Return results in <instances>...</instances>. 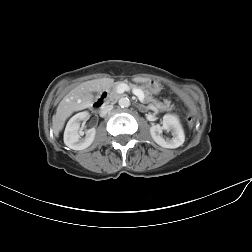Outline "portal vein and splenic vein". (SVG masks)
I'll use <instances>...</instances> for the list:
<instances>
[{
  "instance_id": "18ae733b",
  "label": "portal vein and splenic vein",
  "mask_w": 252,
  "mask_h": 252,
  "mask_svg": "<svg viewBox=\"0 0 252 252\" xmlns=\"http://www.w3.org/2000/svg\"><path fill=\"white\" fill-rule=\"evenodd\" d=\"M120 87L123 91L127 89L125 85H122ZM133 93L139 98L140 101H143L144 93L140 89H133Z\"/></svg>"
}]
</instances>
